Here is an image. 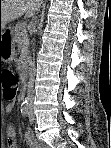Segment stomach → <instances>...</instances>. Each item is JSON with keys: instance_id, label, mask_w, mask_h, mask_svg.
<instances>
[{"instance_id": "0dacf381", "label": "stomach", "mask_w": 111, "mask_h": 148, "mask_svg": "<svg viewBox=\"0 0 111 148\" xmlns=\"http://www.w3.org/2000/svg\"><path fill=\"white\" fill-rule=\"evenodd\" d=\"M14 56V43L12 41L0 42V61L11 62L14 59Z\"/></svg>"}]
</instances>
